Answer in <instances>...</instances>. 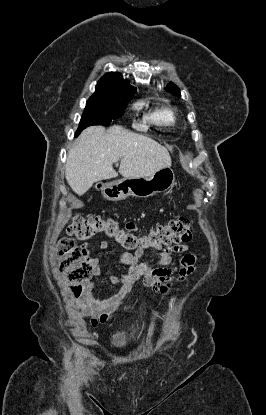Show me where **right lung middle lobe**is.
I'll return each mask as SVG.
<instances>
[{
    "label": "right lung middle lobe",
    "instance_id": "dd1d6c3e",
    "mask_svg": "<svg viewBox=\"0 0 266 415\" xmlns=\"http://www.w3.org/2000/svg\"><path fill=\"white\" fill-rule=\"evenodd\" d=\"M132 97L127 95L107 98L90 97L86 103L76 136L88 126L108 125L112 120L120 118L124 113L126 103Z\"/></svg>",
    "mask_w": 266,
    "mask_h": 415
}]
</instances>
